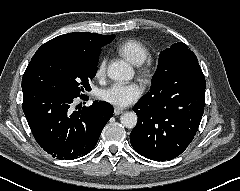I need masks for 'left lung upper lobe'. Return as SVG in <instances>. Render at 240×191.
<instances>
[{
    "label": "left lung upper lobe",
    "instance_id": "left-lung-upper-lobe-1",
    "mask_svg": "<svg viewBox=\"0 0 240 191\" xmlns=\"http://www.w3.org/2000/svg\"><path fill=\"white\" fill-rule=\"evenodd\" d=\"M202 70L195 54L183 42L173 44L159 56V66L152 79V89L144 96L150 99L166 89L178 87L181 77H192Z\"/></svg>",
    "mask_w": 240,
    "mask_h": 191
}]
</instances>
